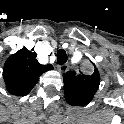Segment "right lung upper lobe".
<instances>
[{
	"label": "right lung upper lobe",
	"mask_w": 124,
	"mask_h": 124,
	"mask_svg": "<svg viewBox=\"0 0 124 124\" xmlns=\"http://www.w3.org/2000/svg\"><path fill=\"white\" fill-rule=\"evenodd\" d=\"M37 54L22 48L12 54L5 62L3 69V79L6 89L14 95H27L39 77L48 70H52V65H41L36 60Z\"/></svg>",
	"instance_id": "1"
}]
</instances>
